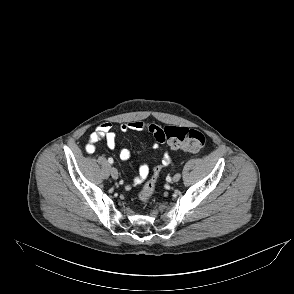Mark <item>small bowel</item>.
Wrapping results in <instances>:
<instances>
[{
    "label": "small bowel",
    "mask_w": 294,
    "mask_h": 294,
    "mask_svg": "<svg viewBox=\"0 0 294 294\" xmlns=\"http://www.w3.org/2000/svg\"><path fill=\"white\" fill-rule=\"evenodd\" d=\"M120 130L124 133L130 132V131H144V130H148V124H145L140 121L126 122L120 125ZM102 140L106 141V144L109 149H114L116 147V142H117L116 133L114 132L113 125L109 122L101 123L90 134L88 143L86 145L87 153H90V154L94 153L97 148V144ZM156 142L157 143L154 145L155 149H157L160 144V142L158 141ZM118 153H119V157L122 160H127L130 157V151L125 147L120 148ZM169 162H170V158L168 154L165 153L162 156L159 162V165L155 167L165 166L169 164ZM149 172H150V167L147 164H142L139 167L138 176H136L133 179L132 184L127 186V188L140 184L148 176Z\"/></svg>",
    "instance_id": "obj_1"
}]
</instances>
